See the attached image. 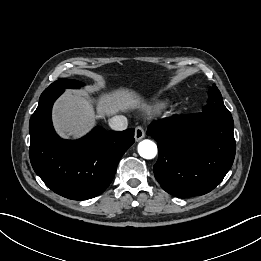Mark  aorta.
Returning a JSON list of instances; mask_svg holds the SVG:
<instances>
[{"label": "aorta", "instance_id": "obj_1", "mask_svg": "<svg viewBox=\"0 0 261 261\" xmlns=\"http://www.w3.org/2000/svg\"><path fill=\"white\" fill-rule=\"evenodd\" d=\"M138 153L145 159H153L157 154V146L151 140H143L138 144Z\"/></svg>", "mask_w": 261, "mask_h": 261}]
</instances>
